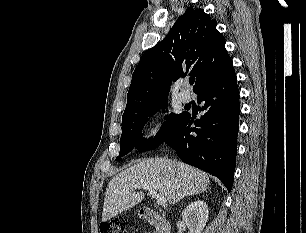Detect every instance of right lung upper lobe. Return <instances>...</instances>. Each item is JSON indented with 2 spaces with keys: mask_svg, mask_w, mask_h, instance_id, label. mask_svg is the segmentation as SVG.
I'll return each instance as SVG.
<instances>
[{
  "mask_svg": "<svg viewBox=\"0 0 306 233\" xmlns=\"http://www.w3.org/2000/svg\"><path fill=\"white\" fill-rule=\"evenodd\" d=\"M202 9L188 8L169 34L141 57L132 75L123 116L167 100L170 83L187 73L196 77L198 95L231 70L225 38Z\"/></svg>",
  "mask_w": 306,
  "mask_h": 233,
  "instance_id": "cb5924a9",
  "label": "right lung upper lobe"
}]
</instances>
